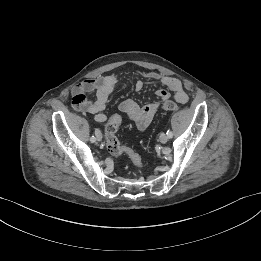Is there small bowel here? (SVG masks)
Returning <instances> with one entry per match:
<instances>
[{
    "label": "small bowel",
    "mask_w": 261,
    "mask_h": 261,
    "mask_svg": "<svg viewBox=\"0 0 261 261\" xmlns=\"http://www.w3.org/2000/svg\"><path fill=\"white\" fill-rule=\"evenodd\" d=\"M142 75L148 81L137 80L134 84L135 91L142 90L146 84H158L164 88L156 92L157 101L146 103L143 106L133 99H126L119 104V111L133 121L139 130H145L149 126L160 102L168 99L170 93L179 103H186L189 99L179 79L155 71L143 72ZM118 86L119 79L116 74L86 79L76 84L72 89L73 107L78 111L93 114L96 122L103 123L107 120L103 111L106 108L108 98ZM92 94L95 95L93 99L89 97Z\"/></svg>",
    "instance_id": "small-bowel-1"
}]
</instances>
